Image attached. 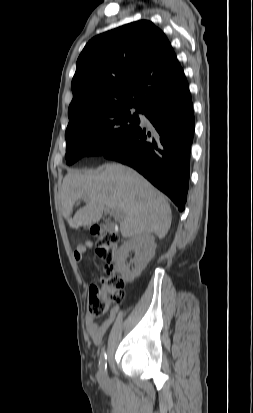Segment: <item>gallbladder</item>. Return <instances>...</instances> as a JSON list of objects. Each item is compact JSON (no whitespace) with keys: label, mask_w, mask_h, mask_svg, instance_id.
<instances>
[{"label":"gallbladder","mask_w":253,"mask_h":413,"mask_svg":"<svg viewBox=\"0 0 253 413\" xmlns=\"http://www.w3.org/2000/svg\"><path fill=\"white\" fill-rule=\"evenodd\" d=\"M106 230L111 231L114 229V225L111 223H107L104 227Z\"/></svg>","instance_id":"obj_1"}]
</instances>
